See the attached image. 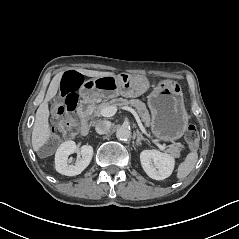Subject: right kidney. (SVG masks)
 Wrapping results in <instances>:
<instances>
[{
  "mask_svg": "<svg viewBox=\"0 0 239 239\" xmlns=\"http://www.w3.org/2000/svg\"><path fill=\"white\" fill-rule=\"evenodd\" d=\"M79 152L82 158L77 160L74 165L70 164L68 157L72 153ZM93 156V147L91 145H82L78 150L75 142L68 141L63 143L55 155L56 170L67 176L80 174L90 164Z\"/></svg>",
  "mask_w": 239,
  "mask_h": 239,
  "instance_id": "obj_1",
  "label": "right kidney"
}]
</instances>
